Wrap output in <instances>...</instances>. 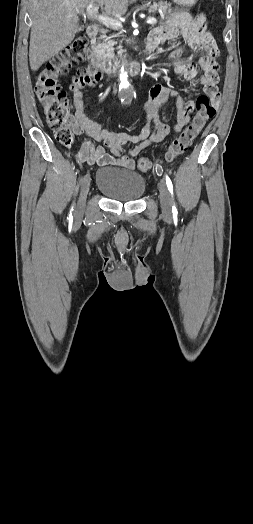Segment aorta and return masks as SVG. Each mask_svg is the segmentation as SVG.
Returning a JSON list of instances; mask_svg holds the SVG:
<instances>
[{
	"label": "aorta",
	"instance_id": "obj_1",
	"mask_svg": "<svg viewBox=\"0 0 253 524\" xmlns=\"http://www.w3.org/2000/svg\"><path fill=\"white\" fill-rule=\"evenodd\" d=\"M127 87H129L128 74L124 70V67H122L121 73H120V88H127Z\"/></svg>",
	"mask_w": 253,
	"mask_h": 524
}]
</instances>
